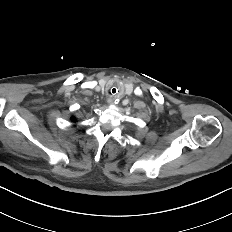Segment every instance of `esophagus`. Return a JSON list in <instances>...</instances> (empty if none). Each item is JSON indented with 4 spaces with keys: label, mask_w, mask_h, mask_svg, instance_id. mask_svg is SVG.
Here are the masks:
<instances>
[{
    "label": "esophagus",
    "mask_w": 232,
    "mask_h": 232,
    "mask_svg": "<svg viewBox=\"0 0 232 232\" xmlns=\"http://www.w3.org/2000/svg\"><path fill=\"white\" fill-rule=\"evenodd\" d=\"M108 102H109L110 104H111V103H113V101H112V100H109Z\"/></svg>",
    "instance_id": "34e87169"
}]
</instances>
